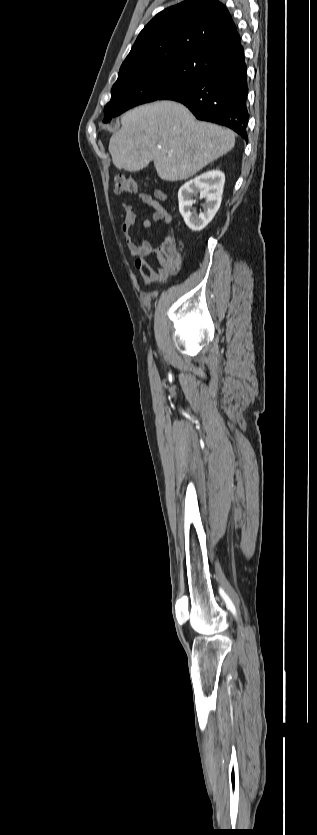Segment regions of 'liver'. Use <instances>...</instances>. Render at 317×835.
<instances>
[{
	"label": "liver",
	"instance_id": "obj_1",
	"mask_svg": "<svg viewBox=\"0 0 317 835\" xmlns=\"http://www.w3.org/2000/svg\"><path fill=\"white\" fill-rule=\"evenodd\" d=\"M109 152L118 169L135 172L153 161L162 180L187 179L235 145L232 130L198 122L182 104L156 101L121 117Z\"/></svg>",
	"mask_w": 317,
	"mask_h": 835
}]
</instances>
